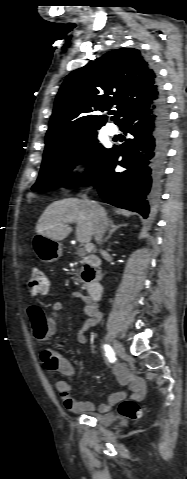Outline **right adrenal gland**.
Wrapping results in <instances>:
<instances>
[{"label": "right adrenal gland", "mask_w": 187, "mask_h": 479, "mask_svg": "<svg viewBox=\"0 0 187 479\" xmlns=\"http://www.w3.org/2000/svg\"><path fill=\"white\" fill-rule=\"evenodd\" d=\"M109 226H110V230H109L108 236H107V237L105 238V240H104L105 242H107V241L111 238L112 234H113L116 230H118L120 227L127 226V224H124V225H115L112 220H109Z\"/></svg>", "instance_id": "2a0ac1e0"}]
</instances>
